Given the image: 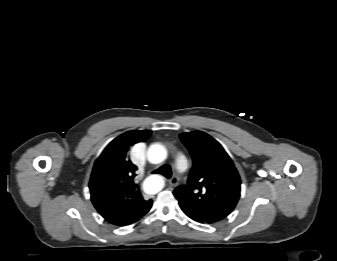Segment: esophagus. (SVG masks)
I'll use <instances>...</instances> for the list:
<instances>
[{"label":"esophagus","mask_w":337,"mask_h":261,"mask_svg":"<svg viewBox=\"0 0 337 261\" xmlns=\"http://www.w3.org/2000/svg\"><path fill=\"white\" fill-rule=\"evenodd\" d=\"M178 181H179L178 177H177L176 175H174V176L170 179L169 183H170L171 186H177Z\"/></svg>","instance_id":"obj_1"}]
</instances>
